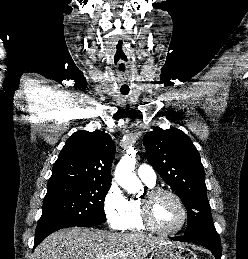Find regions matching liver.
I'll use <instances>...</instances> for the list:
<instances>
[{
  "label": "liver",
  "instance_id": "liver-1",
  "mask_svg": "<svg viewBox=\"0 0 248 259\" xmlns=\"http://www.w3.org/2000/svg\"><path fill=\"white\" fill-rule=\"evenodd\" d=\"M167 242L143 234H119L96 229L66 228L48 236L34 259H145Z\"/></svg>",
  "mask_w": 248,
  "mask_h": 259
}]
</instances>
